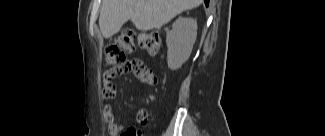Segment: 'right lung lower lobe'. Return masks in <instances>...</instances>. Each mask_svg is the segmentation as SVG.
Returning <instances> with one entry per match:
<instances>
[{"label": "right lung lower lobe", "mask_w": 325, "mask_h": 136, "mask_svg": "<svg viewBox=\"0 0 325 136\" xmlns=\"http://www.w3.org/2000/svg\"><path fill=\"white\" fill-rule=\"evenodd\" d=\"M204 2H205V5L208 6L209 0H204Z\"/></svg>", "instance_id": "right-lung-lower-lobe-1"}]
</instances>
